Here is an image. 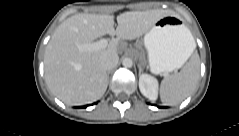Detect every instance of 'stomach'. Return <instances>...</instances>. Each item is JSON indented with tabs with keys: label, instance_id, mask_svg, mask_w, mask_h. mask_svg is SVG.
Instances as JSON below:
<instances>
[{
	"label": "stomach",
	"instance_id": "0dacf381",
	"mask_svg": "<svg viewBox=\"0 0 239 136\" xmlns=\"http://www.w3.org/2000/svg\"><path fill=\"white\" fill-rule=\"evenodd\" d=\"M191 37L179 16L159 19L144 36L151 71L159 74L179 69L192 52Z\"/></svg>",
	"mask_w": 239,
	"mask_h": 136
}]
</instances>
